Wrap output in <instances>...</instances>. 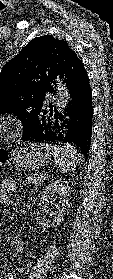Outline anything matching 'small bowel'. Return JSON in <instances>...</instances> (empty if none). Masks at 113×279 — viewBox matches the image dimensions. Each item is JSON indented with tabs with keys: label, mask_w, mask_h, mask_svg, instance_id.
I'll return each mask as SVG.
<instances>
[{
	"label": "small bowel",
	"mask_w": 113,
	"mask_h": 279,
	"mask_svg": "<svg viewBox=\"0 0 113 279\" xmlns=\"http://www.w3.org/2000/svg\"><path fill=\"white\" fill-rule=\"evenodd\" d=\"M15 190L16 187L12 181L7 180L3 182V184L0 187V206L9 202L6 192ZM23 246V236L21 234H16L13 238V248L19 256L22 255ZM23 271V267H16L6 274L5 279H17L18 275L21 274Z\"/></svg>",
	"instance_id": "obj_1"
}]
</instances>
